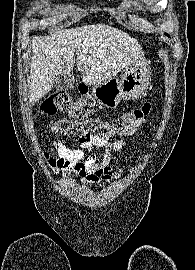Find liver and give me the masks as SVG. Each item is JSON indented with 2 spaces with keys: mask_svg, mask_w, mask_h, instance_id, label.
I'll list each match as a JSON object with an SVG mask.
<instances>
[{
  "mask_svg": "<svg viewBox=\"0 0 195 270\" xmlns=\"http://www.w3.org/2000/svg\"><path fill=\"white\" fill-rule=\"evenodd\" d=\"M29 100L36 103L53 88L60 74L77 69L86 86H95L115 77L144 52L136 39L105 24L60 30L32 40Z\"/></svg>",
  "mask_w": 195,
  "mask_h": 270,
  "instance_id": "6515ba94",
  "label": "liver"
}]
</instances>
